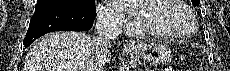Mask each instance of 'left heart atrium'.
<instances>
[{
	"mask_svg": "<svg viewBox=\"0 0 230 71\" xmlns=\"http://www.w3.org/2000/svg\"><path fill=\"white\" fill-rule=\"evenodd\" d=\"M117 2H119V3H121V2H123V1H117ZM138 10H139V8L137 7V6H133V7H131V11L132 12H138Z\"/></svg>",
	"mask_w": 230,
	"mask_h": 71,
	"instance_id": "1",
	"label": "left heart atrium"
}]
</instances>
